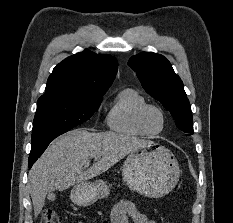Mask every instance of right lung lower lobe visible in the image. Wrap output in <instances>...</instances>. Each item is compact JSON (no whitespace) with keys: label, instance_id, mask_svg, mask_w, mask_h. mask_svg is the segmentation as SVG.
<instances>
[{"label":"right lung lower lobe","instance_id":"obj_1","mask_svg":"<svg viewBox=\"0 0 233 223\" xmlns=\"http://www.w3.org/2000/svg\"><path fill=\"white\" fill-rule=\"evenodd\" d=\"M42 153L31 154L29 157V168L32 167L34 162L41 156Z\"/></svg>","mask_w":233,"mask_h":223}]
</instances>
